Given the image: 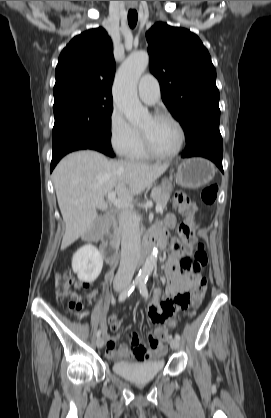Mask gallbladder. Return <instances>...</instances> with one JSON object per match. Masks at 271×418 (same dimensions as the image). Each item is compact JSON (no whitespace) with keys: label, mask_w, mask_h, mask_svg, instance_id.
<instances>
[{"label":"gallbladder","mask_w":271,"mask_h":418,"mask_svg":"<svg viewBox=\"0 0 271 418\" xmlns=\"http://www.w3.org/2000/svg\"><path fill=\"white\" fill-rule=\"evenodd\" d=\"M105 221H106L105 214L99 215V217L94 222V224L91 227V229L89 230L88 234L91 235V236L99 235L102 232V230H103Z\"/></svg>","instance_id":"obj_1"}]
</instances>
